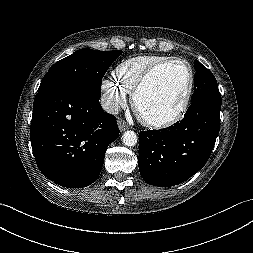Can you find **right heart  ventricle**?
<instances>
[{"mask_svg": "<svg viewBox=\"0 0 253 253\" xmlns=\"http://www.w3.org/2000/svg\"><path fill=\"white\" fill-rule=\"evenodd\" d=\"M170 59L157 54L137 55L119 63L112 75L115 83L127 94H131L142 75L153 65Z\"/></svg>", "mask_w": 253, "mask_h": 253, "instance_id": "e07e8e85", "label": "right heart ventricle"}]
</instances>
